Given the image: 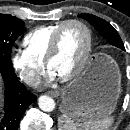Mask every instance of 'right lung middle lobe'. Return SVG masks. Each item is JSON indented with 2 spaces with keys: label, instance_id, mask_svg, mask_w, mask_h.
I'll return each mask as SVG.
<instances>
[{
  "label": "right lung middle lobe",
  "instance_id": "dd1d6c3e",
  "mask_svg": "<svg viewBox=\"0 0 130 130\" xmlns=\"http://www.w3.org/2000/svg\"><path fill=\"white\" fill-rule=\"evenodd\" d=\"M24 22L9 14H0V64L13 69L11 50L15 40L25 31Z\"/></svg>",
  "mask_w": 130,
  "mask_h": 130
}]
</instances>
